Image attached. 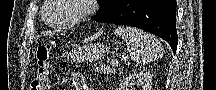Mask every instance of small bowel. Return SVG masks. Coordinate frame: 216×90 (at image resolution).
<instances>
[{"label":"small bowel","instance_id":"small-bowel-1","mask_svg":"<svg viewBox=\"0 0 216 90\" xmlns=\"http://www.w3.org/2000/svg\"><path fill=\"white\" fill-rule=\"evenodd\" d=\"M71 80L74 90H91V87L87 83V80L83 74L75 72L71 75Z\"/></svg>","mask_w":216,"mask_h":90}]
</instances>
